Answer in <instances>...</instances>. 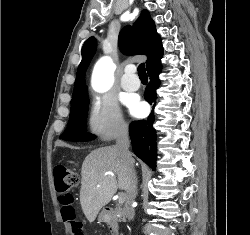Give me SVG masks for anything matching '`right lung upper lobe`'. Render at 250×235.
Masks as SVG:
<instances>
[{
    "label": "right lung upper lobe",
    "instance_id": "cb5924a9",
    "mask_svg": "<svg viewBox=\"0 0 250 235\" xmlns=\"http://www.w3.org/2000/svg\"><path fill=\"white\" fill-rule=\"evenodd\" d=\"M119 47L124 54H144L148 64L163 48L161 38L156 32L155 23L147 10H143L133 28L124 27L119 34ZM96 40L90 37L82 48V61L78 67L72 99L87 92L85 72L95 54Z\"/></svg>",
    "mask_w": 250,
    "mask_h": 235
}]
</instances>
